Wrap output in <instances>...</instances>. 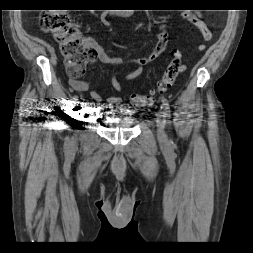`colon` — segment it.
Returning a JSON list of instances; mask_svg holds the SVG:
<instances>
[{"instance_id":"obj_1","label":"colon","mask_w":253,"mask_h":253,"mask_svg":"<svg viewBox=\"0 0 253 253\" xmlns=\"http://www.w3.org/2000/svg\"><path fill=\"white\" fill-rule=\"evenodd\" d=\"M42 28L50 32L59 45L61 55L65 58L66 69L73 78L81 77L89 62L96 57L93 46L81 36L78 26L65 11H53L41 17ZM179 51L173 52V58L168 64L163 77L155 89L149 94H131L129 101L135 106H151L158 95L163 94L173 86L180 73L185 70Z\"/></svg>"}]
</instances>
